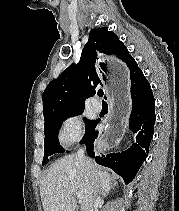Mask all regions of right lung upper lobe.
I'll use <instances>...</instances> for the list:
<instances>
[{
	"label": "right lung upper lobe",
	"instance_id": "1",
	"mask_svg": "<svg viewBox=\"0 0 179 211\" xmlns=\"http://www.w3.org/2000/svg\"><path fill=\"white\" fill-rule=\"evenodd\" d=\"M89 36L80 62L71 64L45 89L42 95L45 123L56 116L84 109V97L91 96L95 87L107 80L110 56L126 63L130 76L140 69L127 47L107 27L93 29Z\"/></svg>",
	"mask_w": 179,
	"mask_h": 211
}]
</instances>
